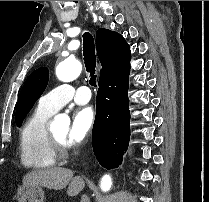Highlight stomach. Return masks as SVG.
Returning a JSON list of instances; mask_svg holds the SVG:
<instances>
[{"mask_svg":"<svg viewBox=\"0 0 209 202\" xmlns=\"http://www.w3.org/2000/svg\"><path fill=\"white\" fill-rule=\"evenodd\" d=\"M18 202H44V191L41 186L21 185L16 194Z\"/></svg>","mask_w":209,"mask_h":202,"instance_id":"1","label":"stomach"}]
</instances>
